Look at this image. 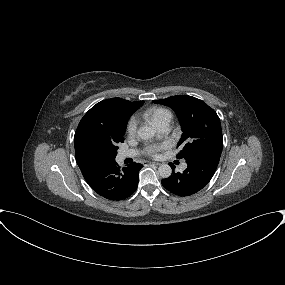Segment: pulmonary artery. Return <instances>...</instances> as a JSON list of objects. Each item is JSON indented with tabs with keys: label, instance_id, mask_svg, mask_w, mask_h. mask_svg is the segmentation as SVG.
<instances>
[{
	"label": "pulmonary artery",
	"instance_id": "e3ab8cb5",
	"mask_svg": "<svg viewBox=\"0 0 285 285\" xmlns=\"http://www.w3.org/2000/svg\"><path fill=\"white\" fill-rule=\"evenodd\" d=\"M170 122H171V117L163 119L158 125V130L161 133H166L169 128H170ZM138 154V151L136 150H130V151H122L119 153L118 158L119 159H125L127 157H132ZM187 167L186 163H182L181 168L185 169Z\"/></svg>",
	"mask_w": 285,
	"mask_h": 285
}]
</instances>
